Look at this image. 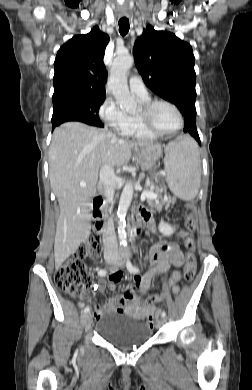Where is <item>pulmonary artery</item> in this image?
Segmentation results:
<instances>
[{
	"mask_svg": "<svg viewBox=\"0 0 252 390\" xmlns=\"http://www.w3.org/2000/svg\"><path fill=\"white\" fill-rule=\"evenodd\" d=\"M129 88L131 92L140 99H147L149 97L147 89L139 76L130 77Z\"/></svg>",
	"mask_w": 252,
	"mask_h": 390,
	"instance_id": "1",
	"label": "pulmonary artery"
}]
</instances>
